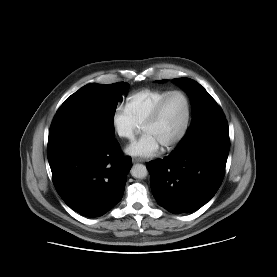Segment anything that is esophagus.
<instances>
[{"label":"esophagus","mask_w":277,"mask_h":277,"mask_svg":"<svg viewBox=\"0 0 277 277\" xmlns=\"http://www.w3.org/2000/svg\"><path fill=\"white\" fill-rule=\"evenodd\" d=\"M133 162H134V163L144 162V160L141 159V158H133Z\"/></svg>","instance_id":"1"}]
</instances>
